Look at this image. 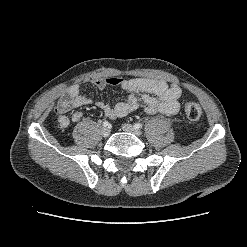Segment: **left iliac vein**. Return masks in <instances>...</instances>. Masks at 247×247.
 <instances>
[{
	"instance_id": "4c4485c4",
	"label": "left iliac vein",
	"mask_w": 247,
	"mask_h": 247,
	"mask_svg": "<svg viewBox=\"0 0 247 247\" xmlns=\"http://www.w3.org/2000/svg\"><path fill=\"white\" fill-rule=\"evenodd\" d=\"M122 129H123V131L128 132V133H132V134H134L136 136H141L142 135V132L140 130L135 129L130 124H123L122 125Z\"/></svg>"
}]
</instances>
